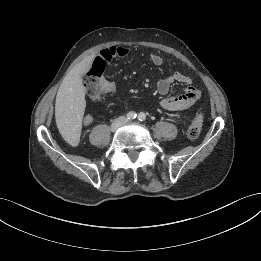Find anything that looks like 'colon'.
Segmentation results:
<instances>
[{
    "label": "colon",
    "instance_id": "obj_1",
    "mask_svg": "<svg viewBox=\"0 0 261 261\" xmlns=\"http://www.w3.org/2000/svg\"><path fill=\"white\" fill-rule=\"evenodd\" d=\"M105 68L103 61L95 59L90 70L86 74L85 88L88 97L91 100H97L100 96L107 93L105 79L102 74ZM203 123V112L198 111L193 122L187 129V135L190 138H197L201 132Z\"/></svg>",
    "mask_w": 261,
    "mask_h": 261
}]
</instances>
